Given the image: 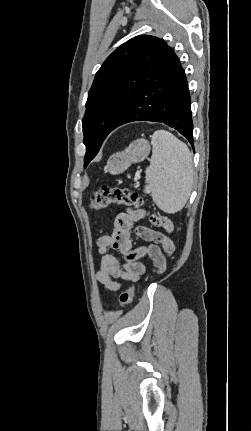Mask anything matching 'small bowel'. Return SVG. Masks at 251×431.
Returning <instances> with one entry per match:
<instances>
[{"instance_id":"obj_1","label":"small bowel","mask_w":251,"mask_h":431,"mask_svg":"<svg viewBox=\"0 0 251 431\" xmlns=\"http://www.w3.org/2000/svg\"><path fill=\"white\" fill-rule=\"evenodd\" d=\"M145 215L144 211L133 209L119 213L112 233L103 235L97 240L101 263L96 278L104 290L116 293L121 287L118 280L123 282L139 280L146 272V266L140 262V259L145 256L153 261L155 272L161 273L165 270L166 255H171L175 249L168 235L145 226H137L134 229L135 234L150 244L133 248L131 231L134 224L142 220ZM153 220L166 232L172 231L173 226L169 219L156 217ZM113 251H118L122 255L123 262L113 255Z\"/></svg>"}]
</instances>
